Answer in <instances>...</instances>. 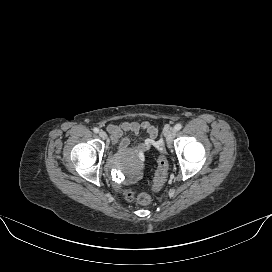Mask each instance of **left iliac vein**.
Instances as JSON below:
<instances>
[{
    "label": "left iliac vein",
    "mask_w": 272,
    "mask_h": 272,
    "mask_svg": "<svg viewBox=\"0 0 272 272\" xmlns=\"http://www.w3.org/2000/svg\"><path fill=\"white\" fill-rule=\"evenodd\" d=\"M176 135V130L174 128H171L168 130L167 134H166V141H167V144H171L174 137Z\"/></svg>",
    "instance_id": "4c4485c4"
}]
</instances>
